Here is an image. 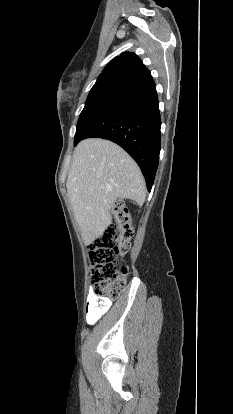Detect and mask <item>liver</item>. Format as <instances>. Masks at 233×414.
Returning <instances> with one entry per match:
<instances>
[{
  "label": "liver",
  "instance_id": "6515ba94",
  "mask_svg": "<svg viewBox=\"0 0 233 414\" xmlns=\"http://www.w3.org/2000/svg\"><path fill=\"white\" fill-rule=\"evenodd\" d=\"M67 193L82 237H101L112 222L110 209L118 198L142 205L146 186L135 161L117 144L99 138L82 140L74 150Z\"/></svg>",
  "mask_w": 233,
  "mask_h": 414
}]
</instances>
